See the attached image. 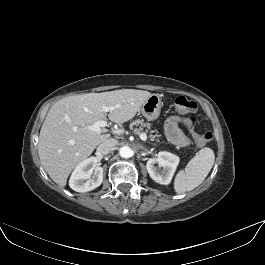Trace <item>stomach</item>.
I'll use <instances>...</instances> for the list:
<instances>
[{"mask_svg": "<svg viewBox=\"0 0 265 265\" xmlns=\"http://www.w3.org/2000/svg\"><path fill=\"white\" fill-rule=\"evenodd\" d=\"M163 103L158 94H152L140 108L141 114L148 120H156L161 111Z\"/></svg>", "mask_w": 265, "mask_h": 265, "instance_id": "obj_1", "label": "stomach"}]
</instances>
